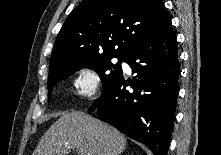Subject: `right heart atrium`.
Masks as SVG:
<instances>
[{"instance_id":"1","label":"right heart atrium","mask_w":221,"mask_h":155,"mask_svg":"<svg viewBox=\"0 0 221 155\" xmlns=\"http://www.w3.org/2000/svg\"><path fill=\"white\" fill-rule=\"evenodd\" d=\"M72 84L75 93L82 98H93L100 89V78L97 72L91 68H82L78 70Z\"/></svg>"}]
</instances>
